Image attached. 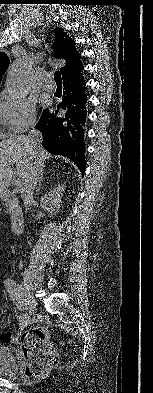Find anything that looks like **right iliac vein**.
Returning <instances> with one entry per match:
<instances>
[{"label":"right iliac vein","instance_id":"63e3f726","mask_svg":"<svg viewBox=\"0 0 153 393\" xmlns=\"http://www.w3.org/2000/svg\"><path fill=\"white\" fill-rule=\"evenodd\" d=\"M21 292L23 297L25 298V304L23 305L22 309H29L30 311L35 309L36 300L33 297L32 292L27 284L21 285Z\"/></svg>","mask_w":153,"mask_h":393}]
</instances>
